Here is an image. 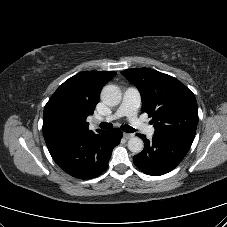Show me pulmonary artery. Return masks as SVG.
<instances>
[{
  "mask_svg": "<svg viewBox=\"0 0 227 227\" xmlns=\"http://www.w3.org/2000/svg\"><path fill=\"white\" fill-rule=\"evenodd\" d=\"M140 105V93L134 87H129L125 90L123 95V100L118 109L110 116L106 118H98V121L101 120H115L120 117H127L130 123L136 129L140 130L142 133L146 134L147 136H153L155 129L154 127L145 124L138 116L137 111Z\"/></svg>",
  "mask_w": 227,
  "mask_h": 227,
  "instance_id": "obj_1",
  "label": "pulmonary artery"
}]
</instances>
